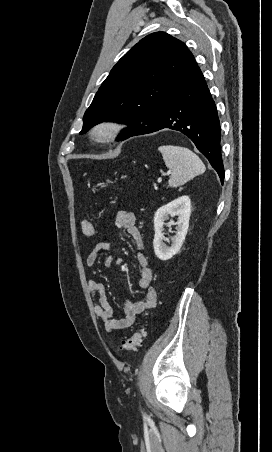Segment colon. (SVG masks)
<instances>
[{"mask_svg":"<svg viewBox=\"0 0 272 452\" xmlns=\"http://www.w3.org/2000/svg\"><path fill=\"white\" fill-rule=\"evenodd\" d=\"M82 232L86 236H93L95 233L94 226L91 221L83 220L81 223ZM146 333L144 329H137L128 339L124 340L121 349L124 352L134 351L143 341Z\"/></svg>","mask_w":272,"mask_h":452,"instance_id":"obj_1","label":"colon"}]
</instances>
